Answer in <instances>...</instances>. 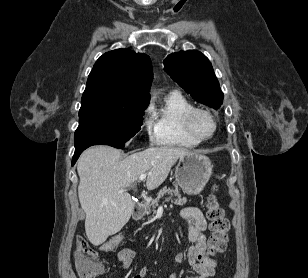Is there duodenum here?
<instances>
[{"instance_id": "410a0bca", "label": "duodenum", "mask_w": 308, "mask_h": 278, "mask_svg": "<svg viewBox=\"0 0 308 278\" xmlns=\"http://www.w3.org/2000/svg\"><path fill=\"white\" fill-rule=\"evenodd\" d=\"M146 207L143 203H138L133 210V218L140 219L145 213Z\"/></svg>"}]
</instances>
